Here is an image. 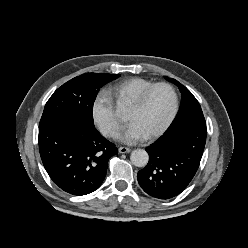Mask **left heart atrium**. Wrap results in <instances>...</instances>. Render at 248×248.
<instances>
[{
    "label": "left heart atrium",
    "mask_w": 248,
    "mask_h": 248,
    "mask_svg": "<svg viewBox=\"0 0 248 248\" xmlns=\"http://www.w3.org/2000/svg\"><path fill=\"white\" fill-rule=\"evenodd\" d=\"M146 138L145 134L133 123H130L119 135L122 142L133 144Z\"/></svg>",
    "instance_id": "1"
}]
</instances>
